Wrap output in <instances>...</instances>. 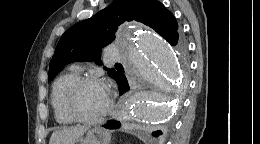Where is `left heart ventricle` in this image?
<instances>
[{"instance_id": "left-heart-ventricle-1", "label": "left heart ventricle", "mask_w": 260, "mask_h": 144, "mask_svg": "<svg viewBox=\"0 0 260 144\" xmlns=\"http://www.w3.org/2000/svg\"><path fill=\"white\" fill-rule=\"evenodd\" d=\"M107 96L103 85L97 83L86 84L81 88L76 98V110L85 117L95 116L105 107Z\"/></svg>"}]
</instances>
